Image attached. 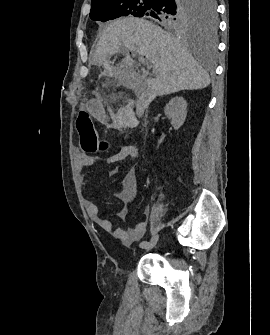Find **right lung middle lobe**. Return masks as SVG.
<instances>
[{
	"instance_id": "obj_1",
	"label": "right lung middle lobe",
	"mask_w": 270,
	"mask_h": 335,
	"mask_svg": "<svg viewBox=\"0 0 270 335\" xmlns=\"http://www.w3.org/2000/svg\"><path fill=\"white\" fill-rule=\"evenodd\" d=\"M129 15L145 16L172 29L198 25L211 32L216 29L214 0H107L90 11L92 20L102 22Z\"/></svg>"
}]
</instances>
